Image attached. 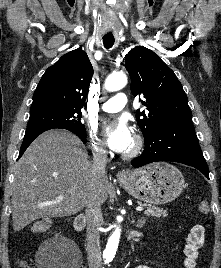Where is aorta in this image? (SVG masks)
Segmentation results:
<instances>
[{"label":"aorta","mask_w":221,"mask_h":268,"mask_svg":"<svg viewBox=\"0 0 221 268\" xmlns=\"http://www.w3.org/2000/svg\"><path fill=\"white\" fill-rule=\"evenodd\" d=\"M126 84V75L124 73H117L107 77L104 87L107 91L114 92L124 88ZM120 234L121 229L117 226L107 242L106 249L104 251V257L108 262L111 261L115 256L119 244Z\"/></svg>","instance_id":"obj_1"}]
</instances>
